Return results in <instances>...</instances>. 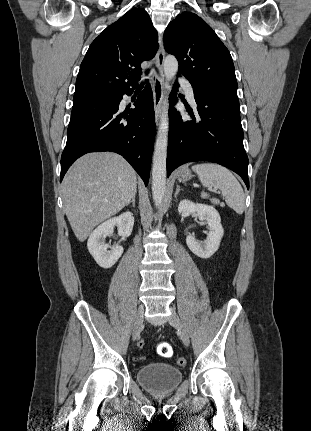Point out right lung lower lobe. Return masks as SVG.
I'll return each mask as SVG.
<instances>
[{"label":"right lung lower lobe","instance_id":"obj_1","mask_svg":"<svg viewBox=\"0 0 311 431\" xmlns=\"http://www.w3.org/2000/svg\"><path fill=\"white\" fill-rule=\"evenodd\" d=\"M131 93L129 88L115 95L73 103L67 143L61 156L60 182L77 158L88 152L111 151L122 155L148 184L155 137L153 96L147 83L134 103L135 108L119 113L123 95Z\"/></svg>","mask_w":311,"mask_h":431}]
</instances>
